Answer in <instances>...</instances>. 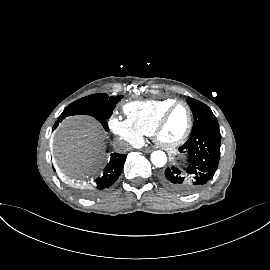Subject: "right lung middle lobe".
<instances>
[{"instance_id":"dd1d6c3e","label":"right lung middle lobe","mask_w":270,"mask_h":270,"mask_svg":"<svg viewBox=\"0 0 270 270\" xmlns=\"http://www.w3.org/2000/svg\"><path fill=\"white\" fill-rule=\"evenodd\" d=\"M123 98V95L108 97L107 94H92L76 100L68 105L59 118L71 115L84 114L95 117L96 119L108 120L115 105Z\"/></svg>"}]
</instances>
